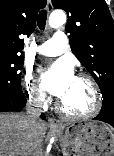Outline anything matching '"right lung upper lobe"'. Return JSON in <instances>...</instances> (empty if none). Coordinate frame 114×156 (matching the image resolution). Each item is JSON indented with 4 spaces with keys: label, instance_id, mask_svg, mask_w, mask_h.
<instances>
[{
    "label": "right lung upper lobe",
    "instance_id": "obj_1",
    "mask_svg": "<svg viewBox=\"0 0 114 156\" xmlns=\"http://www.w3.org/2000/svg\"><path fill=\"white\" fill-rule=\"evenodd\" d=\"M46 0H0V55L22 53L24 40L19 36L30 35L36 26V16Z\"/></svg>",
    "mask_w": 114,
    "mask_h": 156
}]
</instances>
